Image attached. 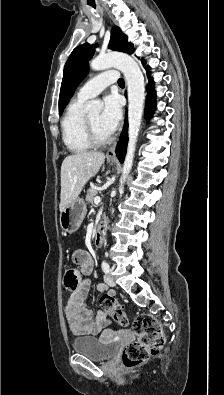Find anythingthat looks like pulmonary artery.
Segmentation results:
<instances>
[{"mask_svg":"<svg viewBox=\"0 0 224 395\" xmlns=\"http://www.w3.org/2000/svg\"><path fill=\"white\" fill-rule=\"evenodd\" d=\"M118 79L115 70H107L88 80L78 91L77 97L88 100L99 95L106 87Z\"/></svg>","mask_w":224,"mask_h":395,"instance_id":"1","label":"pulmonary artery"}]
</instances>
